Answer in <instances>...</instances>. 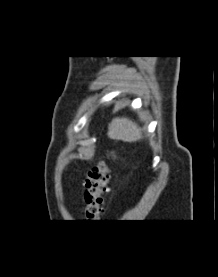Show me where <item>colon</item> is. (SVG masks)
<instances>
[{"label":"colon","instance_id":"5ec220e1","mask_svg":"<svg viewBox=\"0 0 218 277\" xmlns=\"http://www.w3.org/2000/svg\"><path fill=\"white\" fill-rule=\"evenodd\" d=\"M110 169L104 162L89 169L84 181L83 214L87 221L97 220L102 213L104 196L109 184Z\"/></svg>","mask_w":218,"mask_h":277}]
</instances>
